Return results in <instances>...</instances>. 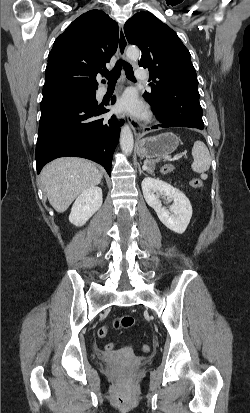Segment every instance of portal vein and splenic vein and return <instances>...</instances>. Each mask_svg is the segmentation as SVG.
<instances>
[{"label":"portal vein and splenic vein","mask_w":250,"mask_h":413,"mask_svg":"<svg viewBox=\"0 0 250 413\" xmlns=\"http://www.w3.org/2000/svg\"><path fill=\"white\" fill-rule=\"evenodd\" d=\"M182 157H186V155H185V154H179V155L173 157V158L170 159V160H179V159L182 158Z\"/></svg>","instance_id":"obj_1"}]
</instances>
